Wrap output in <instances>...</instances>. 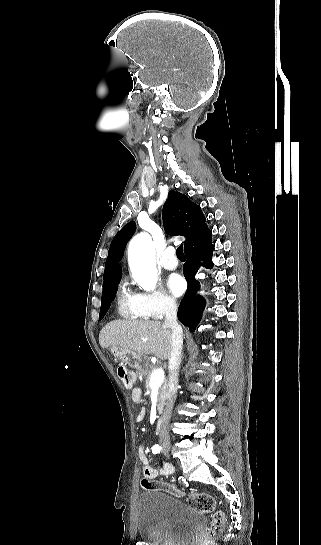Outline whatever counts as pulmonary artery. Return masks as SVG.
Returning <instances> with one entry per match:
<instances>
[{"label":"pulmonary artery","mask_w":321,"mask_h":545,"mask_svg":"<svg viewBox=\"0 0 321 545\" xmlns=\"http://www.w3.org/2000/svg\"><path fill=\"white\" fill-rule=\"evenodd\" d=\"M170 249L171 248H169L168 250H163L161 252V259L159 260V264L167 270H174L178 267V261L171 260L173 255Z\"/></svg>","instance_id":"1"}]
</instances>
